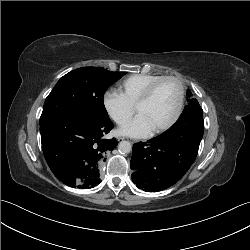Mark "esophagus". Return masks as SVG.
Segmentation results:
<instances>
[{"instance_id": "esophagus-1", "label": "esophagus", "mask_w": 250, "mask_h": 250, "mask_svg": "<svg viewBox=\"0 0 250 250\" xmlns=\"http://www.w3.org/2000/svg\"><path fill=\"white\" fill-rule=\"evenodd\" d=\"M130 142H131L132 144H134V143H136L137 141H136V140H130Z\"/></svg>"}]
</instances>
